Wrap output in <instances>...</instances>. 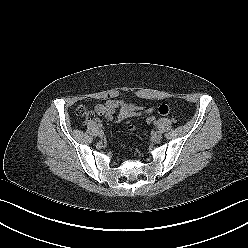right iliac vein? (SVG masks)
<instances>
[{
	"mask_svg": "<svg viewBox=\"0 0 248 248\" xmlns=\"http://www.w3.org/2000/svg\"><path fill=\"white\" fill-rule=\"evenodd\" d=\"M98 136H99V138H104V132L101 130V131H99L98 132Z\"/></svg>",
	"mask_w": 248,
	"mask_h": 248,
	"instance_id": "1",
	"label": "right iliac vein"
}]
</instances>
